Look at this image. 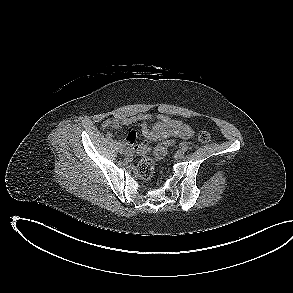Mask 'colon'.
Returning a JSON list of instances; mask_svg holds the SVG:
<instances>
[{"label": "colon", "instance_id": "colon-1", "mask_svg": "<svg viewBox=\"0 0 293 293\" xmlns=\"http://www.w3.org/2000/svg\"><path fill=\"white\" fill-rule=\"evenodd\" d=\"M211 136L206 131H201L198 134L199 142L206 144L210 141ZM174 142L170 138H165L154 149V157H145L143 158L137 168L138 175L142 179H150L154 172V158L164 157L173 147Z\"/></svg>", "mask_w": 293, "mask_h": 293}]
</instances>
